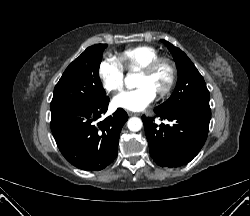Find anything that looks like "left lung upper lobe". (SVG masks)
Returning <instances> with one entry per match:
<instances>
[{
  "instance_id": "1",
  "label": "left lung upper lobe",
  "mask_w": 250,
  "mask_h": 216,
  "mask_svg": "<svg viewBox=\"0 0 250 216\" xmlns=\"http://www.w3.org/2000/svg\"><path fill=\"white\" fill-rule=\"evenodd\" d=\"M162 42L167 45L176 62L178 81L170 98L158 108L165 112L196 109L211 115L210 93L195 65L179 48L165 40H162Z\"/></svg>"
}]
</instances>
